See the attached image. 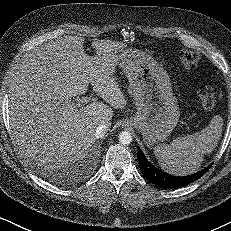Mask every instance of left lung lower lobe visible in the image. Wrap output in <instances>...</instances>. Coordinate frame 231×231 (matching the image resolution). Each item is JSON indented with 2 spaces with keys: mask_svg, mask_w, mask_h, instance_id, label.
Instances as JSON below:
<instances>
[{
  "mask_svg": "<svg viewBox=\"0 0 231 231\" xmlns=\"http://www.w3.org/2000/svg\"><path fill=\"white\" fill-rule=\"evenodd\" d=\"M137 159L140 165L143 176L153 184L163 188H179L184 185L190 184L200 177H202L211 167V164L203 170L192 175L177 177L171 176L167 173L154 167L144 156L140 148H138Z\"/></svg>",
  "mask_w": 231,
  "mask_h": 231,
  "instance_id": "0a47b994",
  "label": "left lung lower lobe"
}]
</instances>
